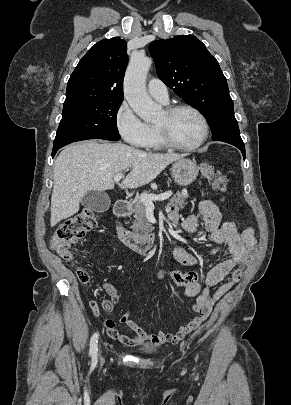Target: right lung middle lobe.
Listing matches in <instances>:
<instances>
[{"label": "right lung middle lobe", "instance_id": "right-lung-middle-lobe-1", "mask_svg": "<svg viewBox=\"0 0 291 405\" xmlns=\"http://www.w3.org/2000/svg\"><path fill=\"white\" fill-rule=\"evenodd\" d=\"M122 99L80 100L64 103L54 140V155L61 147L87 139L119 140L116 115Z\"/></svg>", "mask_w": 291, "mask_h": 405}]
</instances>
